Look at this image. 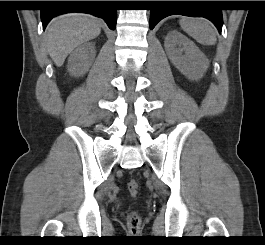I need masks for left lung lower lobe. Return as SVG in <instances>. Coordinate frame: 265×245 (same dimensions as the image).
<instances>
[{"instance_id": "left-lung-lower-lobe-1", "label": "left lung lower lobe", "mask_w": 265, "mask_h": 245, "mask_svg": "<svg viewBox=\"0 0 265 245\" xmlns=\"http://www.w3.org/2000/svg\"><path fill=\"white\" fill-rule=\"evenodd\" d=\"M161 8L151 10L150 29L163 18L179 14L184 16L205 17L212 21L219 31L222 30L223 18L222 10L214 8L215 1H159ZM194 5L208 6V8H192Z\"/></svg>"}]
</instances>
